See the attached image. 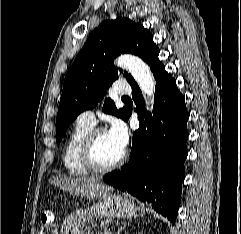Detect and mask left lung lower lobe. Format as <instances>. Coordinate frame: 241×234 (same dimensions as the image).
Here are the masks:
<instances>
[{"instance_id": "obj_1", "label": "left lung lower lobe", "mask_w": 241, "mask_h": 234, "mask_svg": "<svg viewBox=\"0 0 241 234\" xmlns=\"http://www.w3.org/2000/svg\"><path fill=\"white\" fill-rule=\"evenodd\" d=\"M157 50L148 60L156 80L153 113L146 111L137 83H130L140 122L132 139L127 165L106 174L109 185L128 192L175 223L181 201L184 162L188 151V112L185 97L165 71ZM132 111L129 110L127 120ZM126 120V121H127Z\"/></svg>"}]
</instances>
